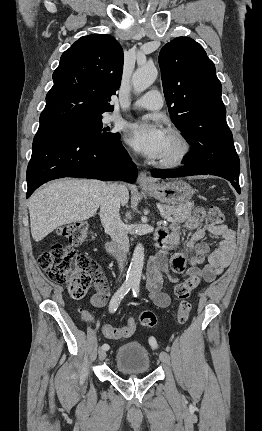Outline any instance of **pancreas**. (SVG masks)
<instances>
[{"label": "pancreas", "instance_id": "obj_1", "mask_svg": "<svg viewBox=\"0 0 262 431\" xmlns=\"http://www.w3.org/2000/svg\"><path fill=\"white\" fill-rule=\"evenodd\" d=\"M164 208V215L172 216L173 223L176 222H184L190 215H191V206H163Z\"/></svg>", "mask_w": 262, "mask_h": 431}]
</instances>
